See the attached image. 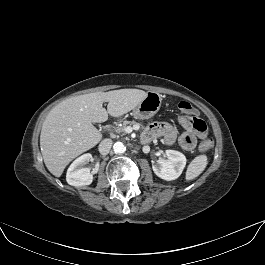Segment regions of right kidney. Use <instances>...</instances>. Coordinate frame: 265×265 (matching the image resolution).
<instances>
[{
  "mask_svg": "<svg viewBox=\"0 0 265 265\" xmlns=\"http://www.w3.org/2000/svg\"><path fill=\"white\" fill-rule=\"evenodd\" d=\"M90 161H92L90 153L83 154L73 161L66 174V181L69 185L85 186L92 183L93 174L90 168L84 167Z\"/></svg>",
  "mask_w": 265,
  "mask_h": 265,
  "instance_id": "obj_1",
  "label": "right kidney"
}]
</instances>
